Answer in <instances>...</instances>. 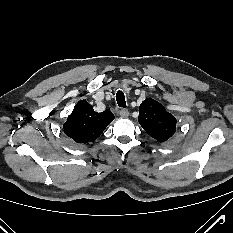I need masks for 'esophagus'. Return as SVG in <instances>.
<instances>
[{
  "label": "esophagus",
  "instance_id": "34e87169",
  "mask_svg": "<svg viewBox=\"0 0 233 233\" xmlns=\"http://www.w3.org/2000/svg\"><path fill=\"white\" fill-rule=\"evenodd\" d=\"M119 114H120V116L123 117V118H127V117L129 116V112H128L127 109H121V110L119 111Z\"/></svg>",
  "mask_w": 233,
  "mask_h": 233
}]
</instances>
